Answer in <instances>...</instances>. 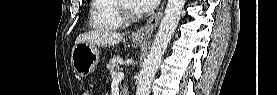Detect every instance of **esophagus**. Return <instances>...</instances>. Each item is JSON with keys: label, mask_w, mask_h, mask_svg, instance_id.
<instances>
[{"label": "esophagus", "mask_w": 277, "mask_h": 95, "mask_svg": "<svg viewBox=\"0 0 277 95\" xmlns=\"http://www.w3.org/2000/svg\"><path fill=\"white\" fill-rule=\"evenodd\" d=\"M164 6H165V2L162 3L159 10L148 19V21L146 22V24L144 26H142L141 28H139L138 30H136L133 33L134 38H136V39H147V38H149L152 31L160 23V20H161L162 14H163V10H164Z\"/></svg>", "instance_id": "1"}]
</instances>
